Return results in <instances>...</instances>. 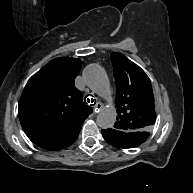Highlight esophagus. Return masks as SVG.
Instances as JSON below:
<instances>
[{
  "label": "esophagus",
  "instance_id": "obj_1",
  "mask_svg": "<svg viewBox=\"0 0 193 193\" xmlns=\"http://www.w3.org/2000/svg\"><path fill=\"white\" fill-rule=\"evenodd\" d=\"M103 104L101 103V102H98L97 104H96V107L94 108V112L96 113V114H98L102 109H103Z\"/></svg>",
  "mask_w": 193,
  "mask_h": 193
}]
</instances>
